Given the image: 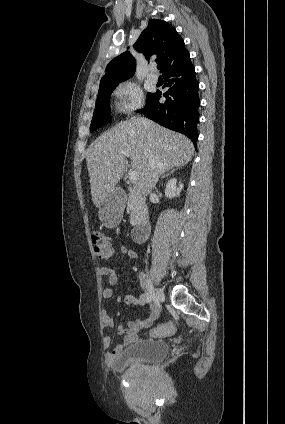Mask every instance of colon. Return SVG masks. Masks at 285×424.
<instances>
[{
	"label": "colon",
	"mask_w": 285,
	"mask_h": 424,
	"mask_svg": "<svg viewBox=\"0 0 285 424\" xmlns=\"http://www.w3.org/2000/svg\"><path fill=\"white\" fill-rule=\"evenodd\" d=\"M92 246L97 258L107 260L113 255L112 238L100 232L92 235ZM177 327L172 322L162 323L149 332L150 337H164L173 334Z\"/></svg>",
	"instance_id": "colon-1"
}]
</instances>
